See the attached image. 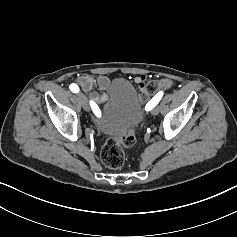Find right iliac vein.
I'll return each mask as SVG.
<instances>
[{
  "mask_svg": "<svg viewBox=\"0 0 237 237\" xmlns=\"http://www.w3.org/2000/svg\"><path fill=\"white\" fill-rule=\"evenodd\" d=\"M79 99L81 101V104H82V107L85 111H89L90 110V107H89V103L87 101V98L85 97L84 94L80 93L79 94Z\"/></svg>",
  "mask_w": 237,
  "mask_h": 237,
  "instance_id": "right-iliac-vein-1",
  "label": "right iliac vein"
}]
</instances>
